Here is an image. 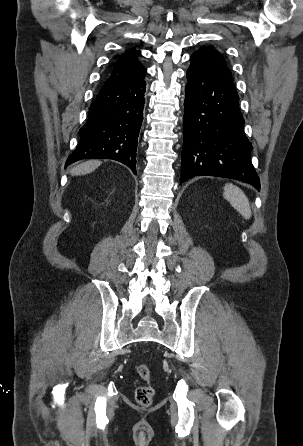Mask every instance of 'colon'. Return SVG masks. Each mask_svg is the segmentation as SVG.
<instances>
[{"label":"colon","mask_w":303,"mask_h":446,"mask_svg":"<svg viewBox=\"0 0 303 446\" xmlns=\"http://www.w3.org/2000/svg\"><path fill=\"white\" fill-rule=\"evenodd\" d=\"M138 376L145 382V384L139 386L135 391L136 402L144 407H148L152 404L155 396V389L153 387L152 373L148 365L140 364L137 367Z\"/></svg>","instance_id":"5ec220e1"}]
</instances>
